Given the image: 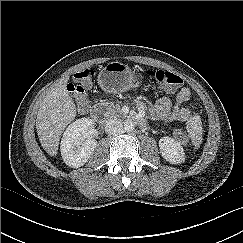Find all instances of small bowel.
<instances>
[{
	"mask_svg": "<svg viewBox=\"0 0 243 243\" xmlns=\"http://www.w3.org/2000/svg\"><path fill=\"white\" fill-rule=\"evenodd\" d=\"M190 98V91L188 88H182L176 95L173 102L169 97L162 96L155 103L152 109V116L161 121H187L191 115L189 108L183 107Z\"/></svg>",
	"mask_w": 243,
	"mask_h": 243,
	"instance_id": "obj_1",
	"label": "small bowel"
}]
</instances>
